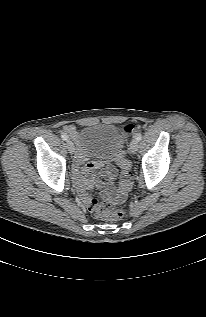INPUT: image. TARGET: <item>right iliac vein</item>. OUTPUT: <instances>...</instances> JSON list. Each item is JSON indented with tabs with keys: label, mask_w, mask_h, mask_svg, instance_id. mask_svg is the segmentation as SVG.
Segmentation results:
<instances>
[{
	"label": "right iliac vein",
	"mask_w": 206,
	"mask_h": 317,
	"mask_svg": "<svg viewBox=\"0 0 206 317\" xmlns=\"http://www.w3.org/2000/svg\"><path fill=\"white\" fill-rule=\"evenodd\" d=\"M66 146H67L69 153L73 154L75 152V147H74V144L72 141L68 140L66 142Z\"/></svg>",
	"instance_id": "obj_1"
}]
</instances>
